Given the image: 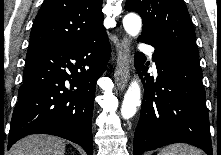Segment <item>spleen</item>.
I'll list each match as a JSON object with an SVG mask.
<instances>
[{
  "instance_id": "spleen-1",
  "label": "spleen",
  "mask_w": 221,
  "mask_h": 155,
  "mask_svg": "<svg viewBox=\"0 0 221 155\" xmlns=\"http://www.w3.org/2000/svg\"><path fill=\"white\" fill-rule=\"evenodd\" d=\"M158 155H202L201 150L188 144H172L161 149Z\"/></svg>"
}]
</instances>
